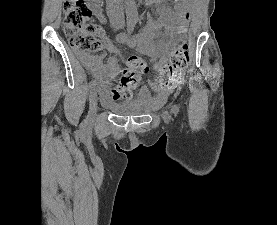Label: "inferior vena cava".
<instances>
[{
	"mask_svg": "<svg viewBox=\"0 0 277 225\" xmlns=\"http://www.w3.org/2000/svg\"><path fill=\"white\" fill-rule=\"evenodd\" d=\"M107 6L109 8L115 7V8H120L121 7V0H107ZM119 21L122 25H124V16H119Z\"/></svg>",
	"mask_w": 277,
	"mask_h": 225,
	"instance_id": "602c4592",
	"label": "inferior vena cava"
}]
</instances>
